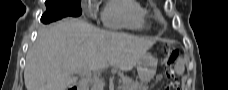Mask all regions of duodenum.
Returning a JSON list of instances; mask_svg holds the SVG:
<instances>
[{"label":"duodenum","mask_w":228,"mask_h":90,"mask_svg":"<svg viewBox=\"0 0 228 90\" xmlns=\"http://www.w3.org/2000/svg\"><path fill=\"white\" fill-rule=\"evenodd\" d=\"M70 90H79V88L74 86V87H71Z\"/></svg>","instance_id":"1"}]
</instances>
